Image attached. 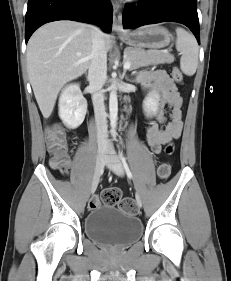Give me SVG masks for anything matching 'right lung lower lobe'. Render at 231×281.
<instances>
[{
    "label": "right lung lower lobe",
    "instance_id": "1",
    "mask_svg": "<svg viewBox=\"0 0 231 281\" xmlns=\"http://www.w3.org/2000/svg\"><path fill=\"white\" fill-rule=\"evenodd\" d=\"M57 20L98 23L104 32L109 33L112 29L111 4L109 0H29L25 24L26 43L37 28Z\"/></svg>",
    "mask_w": 231,
    "mask_h": 281
}]
</instances>
